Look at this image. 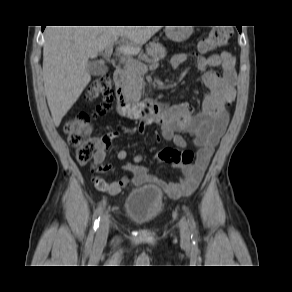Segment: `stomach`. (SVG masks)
<instances>
[{
  "mask_svg": "<svg viewBox=\"0 0 292 292\" xmlns=\"http://www.w3.org/2000/svg\"><path fill=\"white\" fill-rule=\"evenodd\" d=\"M192 27H170L166 30L167 37L175 42H183L190 37Z\"/></svg>",
  "mask_w": 292,
  "mask_h": 292,
  "instance_id": "stomach-1",
  "label": "stomach"
}]
</instances>
